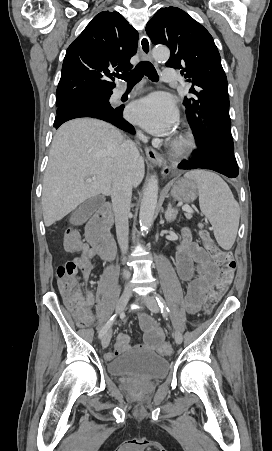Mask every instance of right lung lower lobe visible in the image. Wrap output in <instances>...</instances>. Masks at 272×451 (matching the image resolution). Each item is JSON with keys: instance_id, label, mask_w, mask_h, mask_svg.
Segmentation results:
<instances>
[{"instance_id": "98d812e1", "label": "right lung lower lobe", "mask_w": 272, "mask_h": 451, "mask_svg": "<svg viewBox=\"0 0 272 451\" xmlns=\"http://www.w3.org/2000/svg\"><path fill=\"white\" fill-rule=\"evenodd\" d=\"M112 93H110L111 95ZM123 108H115L112 112H107L98 107V105H81L70 108L60 114H57L54 121V127L57 129L64 122L81 117H91L104 120L130 133H135L134 127L123 117Z\"/></svg>"}]
</instances>
